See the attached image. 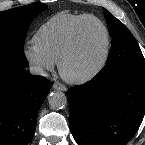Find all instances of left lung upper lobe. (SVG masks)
I'll return each mask as SVG.
<instances>
[{"label": "left lung upper lobe", "instance_id": "left-lung-upper-lobe-1", "mask_svg": "<svg viewBox=\"0 0 145 145\" xmlns=\"http://www.w3.org/2000/svg\"><path fill=\"white\" fill-rule=\"evenodd\" d=\"M104 15L112 46L106 65L95 77L105 79L116 73L145 69V59L132 33L106 9Z\"/></svg>", "mask_w": 145, "mask_h": 145}]
</instances>
